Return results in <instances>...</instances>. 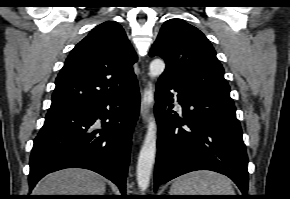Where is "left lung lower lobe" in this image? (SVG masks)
<instances>
[{"label":"left lung lower lobe","mask_w":290,"mask_h":199,"mask_svg":"<svg viewBox=\"0 0 290 199\" xmlns=\"http://www.w3.org/2000/svg\"><path fill=\"white\" fill-rule=\"evenodd\" d=\"M175 90L182 116L172 110ZM155 115L158 153L155 188L182 174L212 170L230 177L247 198V153L233 102L185 88L160 76Z\"/></svg>","instance_id":"left-lung-lower-lobe-1"}]
</instances>
